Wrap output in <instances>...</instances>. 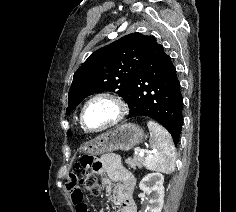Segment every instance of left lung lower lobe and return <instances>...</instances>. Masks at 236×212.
I'll use <instances>...</instances> for the list:
<instances>
[{
  "label": "left lung lower lobe",
  "mask_w": 236,
  "mask_h": 212,
  "mask_svg": "<svg viewBox=\"0 0 236 212\" xmlns=\"http://www.w3.org/2000/svg\"><path fill=\"white\" fill-rule=\"evenodd\" d=\"M125 102L128 118L146 116L157 121L177 145L183 125L181 86L170 56L153 36Z\"/></svg>",
  "instance_id": "0a47b994"
}]
</instances>
